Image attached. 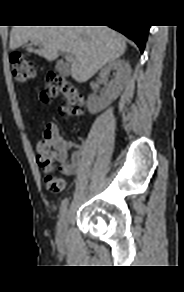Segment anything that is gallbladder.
I'll return each mask as SVG.
<instances>
[{
    "label": "gallbladder",
    "instance_id": "obj_1",
    "mask_svg": "<svg viewBox=\"0 0 184 292\" xmlns=\"http://www.w3.org/2000/svg\"><path fill=\"white\" fill-rule=\"evenodd\" d=\"M56 70L63 76H67L70 73V67L61 63L56 64Z\"/></svg>",
    "mask_w": 184,
    "mask_h": 292
}]
</instances>
